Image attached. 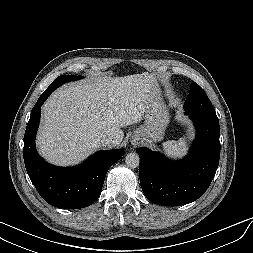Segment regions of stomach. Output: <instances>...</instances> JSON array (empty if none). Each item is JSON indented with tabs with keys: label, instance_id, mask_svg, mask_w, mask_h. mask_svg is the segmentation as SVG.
Returning <instances> with one entry per match:
<instances>
[{
	"label": "stomach",
	"instance_id": "stomach-1",
	"mask_svg": "<svg viewBox=\"0 0 253 253\" xmlns=\"http://www.w3.org/2000/svg\"><path fill=\"white\" fill-rule=\"evenodd\" d=\"M169 119V112L162 100L160 90H157L151 95L148 102L144 124L134 132L132 139L138 135L145 143L161 141Z\"/></svg>",
	"mask_w": 253,
	"mask_h": 253
}]
</instances>
